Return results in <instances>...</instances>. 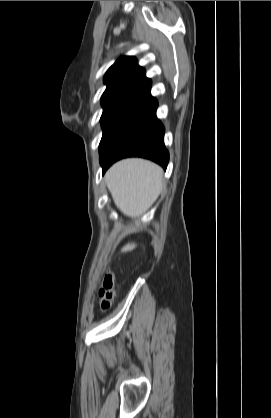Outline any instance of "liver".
Masks as SVG:
<instances>
[{"label": "liver", "mask_w": 271, "mask_h": 418, "mask_svg": "<svg viewBox=\"0 0 271 418\" xmlns=\"http://www.w3.org/2000/svg\"><path fill=\"white\" fill-rule=\"evenodd\" d=\"M106 185L117 208L126 216H142L157 200L163 187V170L153 162L130 158L121 160L105 174ZM127 244L123 250H131Z\"/></svg>", "instance_id": "obj_1"}]
</instances>
